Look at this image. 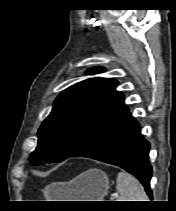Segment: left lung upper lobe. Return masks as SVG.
Listing matches in <instances>:
<instances>
[{"label":"left lung upper lobe","mask_w":176,"mask_h":211,"mask_svg":"<svg viewBox=\"0 0 176 211\" xmlns=\"http://www.w3.org/2000/svg\"><path fill=\"white\" fill-rule=\"evenodd\" d=\"M91 68L87 73H100ZM110 78H90L63 91L38 130V145L29 161L61 162L76 153L104 124L126 108L124 95Z\"/></svg>","instance_id":"5c2ea615"}]
</instances>
